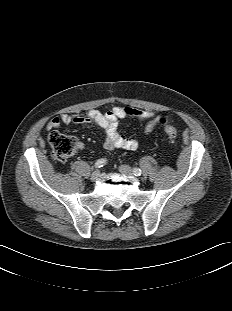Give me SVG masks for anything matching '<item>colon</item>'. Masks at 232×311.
I'll use <instances>...</instances> for the list:
<instances>
[{
  "instance_id": "1",
  "label": "colon",
  "mask_w": 232,
  "mask_h": 311,
  "mask_svg": "<svg viewBox=\"0 0 232 311\" xmlns=\"http://www.w3.org/2000/svg\"><path fill=\"white\" fill-rule=\"evenodd\" d=\"M158 122L163 126L164 132L167 137L174 141L178 136V130L174 125L167 123L164 118H159ZM49 144L53 151V156L58 161H66L74 156L76 152L75 140L66 134H62L58 131H52L49 134Z\"/></svg>"
}]
</instances>
